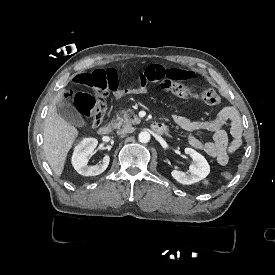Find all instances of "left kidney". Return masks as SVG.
I'll use <instances>...</instances> for the list:
<instances>
[{
    "mask_svg": "<svg viewBox=\"0 0 275 275\" xmlns=\"http://www.w3.org/2000/svg\"><path fill=\"white\" fill-rule=\"evenodd\" d=\"M185 152L191 159L189 166L191 175L186 176L178 170H173L171 172L172 177L184 185H190L205 179L210 173V166L205 157L192 148H186Z\"/></svg>",
    "mask_w": 275,
    "mask_h": 275,
    "instance_id": "obj_1",
    "label": "left kidney"
}]
</instances>
